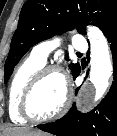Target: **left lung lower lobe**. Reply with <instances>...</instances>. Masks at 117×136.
I'll return each instance as SVG.
<instances>
[{"mask_svg":"<svg viewBox=\"0 0 117 136\" xmlns=\"http://www.w3.org/2000/svg\"><path fill=\"white\" fill-rule=\"evenodd\" d=\"M103 33L111 43L114 63V81L108 94L92 111L83 114L73 104L64 117L38 125L39 129L56 136H117V17Z\"/></svg>","mask_w":117,"mask_h":136,"instance_id":"1","label":"left lung lower lobe"}]
</instances>
